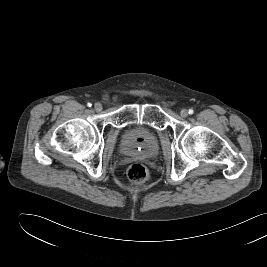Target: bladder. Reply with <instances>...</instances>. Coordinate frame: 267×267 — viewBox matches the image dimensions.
Segmentation results:
<instances>
[{"label": "bladder", "mask_w": 267, "mask_h": 267, "mask_svg": "<svg viewBox=\"0 0 267 267\" xmlns=\"http://www.w3.org/2000/svg\"><path fill=\"white\" fill-rule=\"evenodd\" d=\"M121 150L126 155L152 158L159 152L156 132L145 125L127 127L121 137Z\"/></svg>", "instance_id": "bladder-1"}]
</instances>
